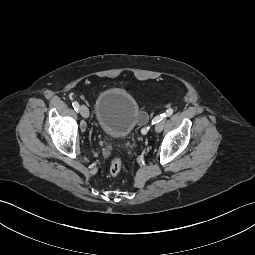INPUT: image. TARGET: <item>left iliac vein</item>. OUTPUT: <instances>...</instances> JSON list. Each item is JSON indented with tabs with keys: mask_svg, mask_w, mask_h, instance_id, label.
Listing matches in <instances>:
<instances>
[{
	"mask_svg": "<svg viewBox=\"0 0 255 255\" xmlns=\"http://www.w3.org/2000/svg\"><path fill=\"white\" fill-rule=\"evenodd\" d=\"M163 127H164V121L162 119L160 122H158L156 124L155 131L159 133V132H161L163 130Z\"/></svg>",
	"mask_w": 255,
	"mask_h": 255,
	"instance_id": "left-iliac-vein-1",
	"label": "left iliac vein"
}]
</instances>
